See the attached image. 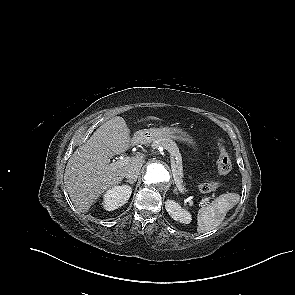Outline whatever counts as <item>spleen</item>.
Segmentation results:
<instances>
[{
    "label": "spleen",
    "mask_w": 295,
    "mask_h": 295,
    "mask_svg": "<svg viewBox=\"0 0 295 295\" xmlns=\"http://www.w3.org/2000/svg\"><path fill=\"white\" fill-rule=\"evenodd\" d=\"M236 193H227L218 196L208 206H202L197 215V231L204 233L219 226L225 219L227 212L239 201Z\"/></svg>",
    "instance_id": "1"
}]
</instances>
